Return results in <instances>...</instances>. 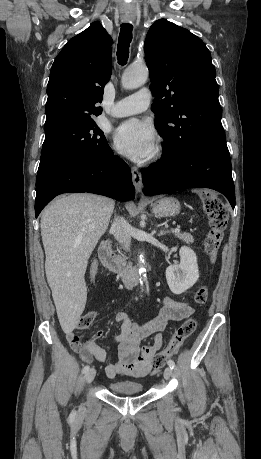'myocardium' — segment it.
Segmentation results:
<instances>
[{
    "label": "myocardium",
    "mask_w": 261,
    "mask_h": 459,
    "mask_svg": "<svg viewBox=\"0 0 261 459\" xmlns=\"http://www.w3.org/2000/svg\"><path fill=\"white\" fill-rule=\"evenodd\" d=\"M161 153V149L158 148L157 151H156V154L159 155Z\"/></svg>",
    "instance_id": "f54148a6"
}]
</instances>
